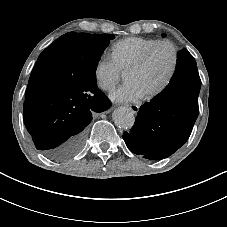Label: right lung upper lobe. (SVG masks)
Here are the masks:
<instances>
[{
	"label": "right lung upper lobe",
	"instance_id": "cb5924a9",
	"mask_svg": "<svg viewBox=\"0 0 227 227\" xmlns=\"http://www.w3.org/2000/svg\"><path fill=\"white\" fill-rule=\"evenodd\" d=\"M42 86L38 83H36L32 78L29 79L27 90L25 93L26 98L33 95L34 93L40 91Z\"/></svg>",
	"mask_w": 227,
	"mask_h": 227
}]
</instances>
